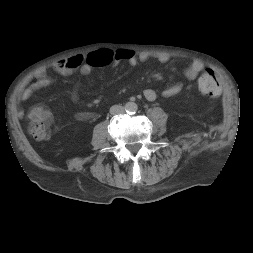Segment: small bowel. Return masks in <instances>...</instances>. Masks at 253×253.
Returning a JSON list of instances; mask_svg holds the SVG:
<instances>
[{
	"instance_id": "obj_1",
	"label": "small bowel",
	"mask_w": 253,
	"mask_h": 253,
	"mask_svg": "<svg viewBox=\"0 0 253 253\" xmlns=\"http://www.w3.org/2000/svg\"><path fill=\"white\" fill-rule=\"evenodd\" d=\"M154 59L160 63H167L169 57L167 55H152L150 53H141L136 55L132 51L127 50H98L88 54L86 57L75 56L67 60L59 61L55 65V71L63 76L69 77L76 72L82 75H91L96 69L103 68L108 65L116 64L121 61H126L131 67H137L140 63L148 62ZM203 70V64L199 60H193L187 67L182 71L183 76L189 80H195L199 73ZM38 76L44 77L45 70L41 69L37 73ZM183 89L181 83L171 85L160 92L163 97H172L180 93ZM78 87H75L72 100L74 103L77 102ZM144 97L148 101L156 100L158 93L151 88H147L143 91ZM95 114L92 112L81 111L75 114V118L80 121H87L95 118ZM28 117L33 121L42 122L45 125L52 123L53 117L48 109L42 107H35L28 112Z\"/></svg>"
}]
</instances>
